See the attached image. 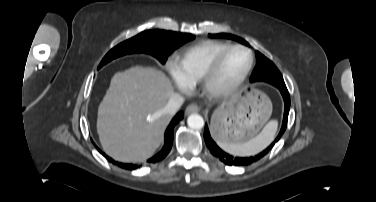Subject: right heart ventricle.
Listing matches in <instances>:
<instances>
[{"label":"right heart ventricle","instance_id":"1","mask_svg":"<svg viewBox=\"0 0 376 202\" xmlns=\"http://www.w3.org/2000/svg\"><path fill=\"white\" fill-rule=\"evenodd\" d=\"M229 46L226 42L206 40L181 51L174 64L182 82L188 87L198 84L211 63Z\"/></svg>","mask_w":376,"mask_h":202}]
</instances>
